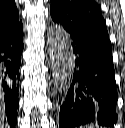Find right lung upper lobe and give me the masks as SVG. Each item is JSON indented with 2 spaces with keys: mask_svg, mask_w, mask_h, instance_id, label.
Here are the masks:
<instances>
[{
  "mask_svg": "<svg viewBox=\"0 0 125 128\" xmlns=\"http://www.w3.org/2000/svg\"><path fill=\"white\" fill-rule=\"evenodd\" d=\"M22 25L14 0H0V35Z\"/></svg>",
  "mask_w": 125,
  "mask_h": 128,
  "instance_id": "1",
  "label": "right lung upper lobe"
}]
</instances>
